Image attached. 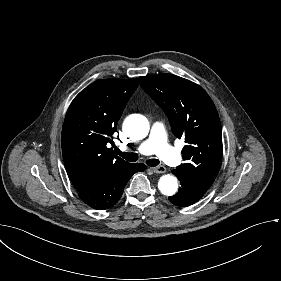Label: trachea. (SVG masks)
I'll return each instance as SVG.
<instances>
[{
    "mask_svg": "<svg viewBox=\"0 0 281 281\" xmlns=\"http://www.w3.org/2000/svg\"><path fill=\"white\" fill-rule=\"evenodd\" d=\"M117 154L129 162H135L139 158V155L137 153H127V152H121L120 150H117ZM146 164L148 166L155 167L159 164V160L158 159H148V160H146Z\"/></svg>",
    "mask_w": 281,
    "mask_h": 281,
    "instance_id": "trachea-1",
    "label": "trachea"
}]
</instances>
